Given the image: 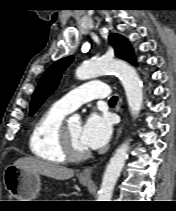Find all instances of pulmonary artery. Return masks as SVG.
Instances as JSON below:
<instances>
[{
	"instance_id": "pulmonary-artery-1",
	"label": "pulmonary artery",
	"mask_w": 176,
	"mask_h": 211,
	"mask_svg": "<svg viewBox=\"0 0 176 211\" xmlns=\"http://www.w3.org/2000/svg\"><path fill=\"white\" fill-rule=\"evenodd\" d=\"M108 95L109 87L107 84L102 81H91L69 91L57 103L68 112H72L86 102L106 98Z\"/></svg>"
}]
</instances>
